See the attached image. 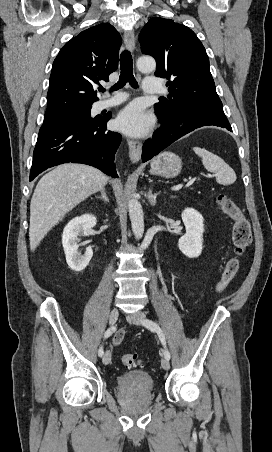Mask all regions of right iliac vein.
<instances>
[{
  "label": "right iliac vein",
  "mask_w": 272,
  "mask_h": 452,
  "mask_svg": "<svg viewBox=\"0 0 272 452\" xmlns=\"http://www.w3.org/2000/svg\"><path fill=\"white\" fill-rule=\"evenodd\" d=\"M118 317H119V311H118V309H117V308H113V309L111 310V312H110V315H109V323H110L111 325H114V324L116 323V321L118 320ZM102 360H103V363H104L105 365L110 364V362H111V353H110L109 350H107V351L105 352V354H104Z\"/></svg>",
  "instance_id": "63e3f726"
}]
</instances>
